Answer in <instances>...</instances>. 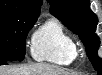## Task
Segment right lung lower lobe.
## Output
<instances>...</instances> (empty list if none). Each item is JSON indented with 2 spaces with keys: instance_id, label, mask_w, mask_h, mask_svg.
Wrapping results in <instances>:
<instances>
[{
  "instance_id": "obj_1",
  "label": "right lung lower lobe",
  "mask_w": 102,
  "mask_h": 75,
  "mask_svg": "<svg viewBox=\"0 0 102 75\" xmlns=\"http://www.w3.org/2000/svg\"><path fill=\"white\" fill-rule=\"evenodd\" d=\"M7 62H2V63H0L1 65H3V64H6Z\"/></svg>"
}]
</instances>
